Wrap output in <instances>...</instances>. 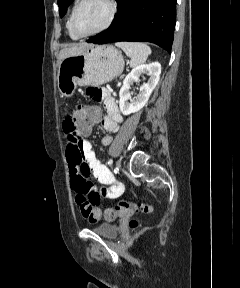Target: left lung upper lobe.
<instances>
[{
  "label": "left lung upper lobe",
  "instance_id": "1",
  "mask_svg": "<svg viewBox=\"0 0 240 288\" xmlns=\"http://www.w3.org/2000/svg\"><path fill=\"white\" fill-rule=\"evenodd\" d=\"M74 0H58L59 6V15L63 17L65 15L67 7L73 2Z\"/></svg>",
  "mask_w": 240,
  "mask_h": 288
}]
</instances>
